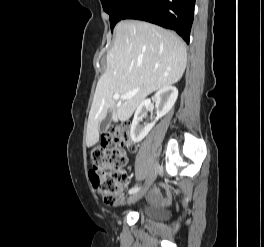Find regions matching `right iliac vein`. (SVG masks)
<instances>
[{
    "mask_svg": "<svg viewBox=\"0 0 264 247\" xmlns=\"http://www.w3.org/2000/svg\"><path fill=\"white\" fill-rule=\"evenodd\" d=\"M157 173H158V165L155 164L153 166V168L151 169L149 175H148L146 186L142 190L138 191L136 194L132 195L129 198L130 203H134V202L138 201L139 199H141L145 195V193L147 192V190L149 189V187L151 186V184L155 180Z\"/></svg>",
    "mask_w": 264,
    "mask_h": 247,
    "instance_id": "1",
    "label": "right iliac vein"
}]
</instances>
